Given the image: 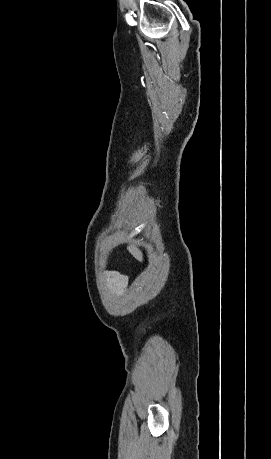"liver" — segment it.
Masks as SVG:
<instances>
[{"instance_id": "liver-1", "label": "liver", "mask_w": 271, "mask_h": 459, "mask_svg": "<svg viewBox=\"0 0 271 459\" xmlns=\"http://www.w3.org/2000/svg\"><path fill=\"white\" fill-rule=\"evenodd\" d=\"M128 249L130 253H132V255L138 259V261H143V253L141 249H138V247H135V245H128Z\"/></svg>"}]
</instances>
